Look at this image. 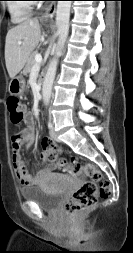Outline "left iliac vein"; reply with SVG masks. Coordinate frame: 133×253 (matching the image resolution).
Listing matches in <instances>:
<instances>
[{
  "mask_svg": "<svg viewBox=\"0 0 133 253\" xmlns=\"http://www.w3.org/2000/svg\"><path fill=\"white\" fill-rule=\"evenodd\" d=\"M50 136H51L54 140H58V136H57V133H56L54 127H52V128L50 129Z\"/></svg>",
  "mask_w": 133,
  "mask_h": 253,
  "instance_id": "obj_1",
  "label": "left iliac vein"
}]
</instances>
